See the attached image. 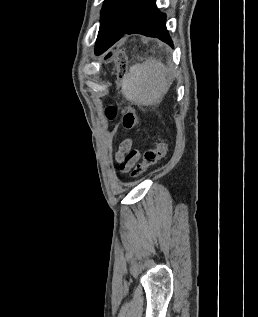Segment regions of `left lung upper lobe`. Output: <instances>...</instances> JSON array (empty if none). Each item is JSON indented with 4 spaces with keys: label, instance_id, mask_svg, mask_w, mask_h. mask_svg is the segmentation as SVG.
<instances>
[{
    "label": "left lung upper lobe",
    "instance_id": "5c2ea615",
    "mask_svg": "<svg viewBox=\"0 0 258 317\" xmlns=\"http://www.w3.org/2000/svg\"><path fill=\"white\" fill-rule=\"evenodd\" d=\"M131 0H105L101 10L100 28H121L126 21Z\"/></svg>",
    "mask_w": 258,
    "mask_h": 317
}]
</instances>
